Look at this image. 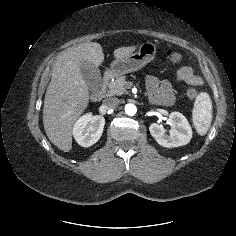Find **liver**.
<instances>
[{
	"instance_id": "liver-1",
	"label": "liver",
	"mask_w": 236,
	"mask_h": 236,
	"mask_svg": "<svg viewBox=\"0 0 236 236\" xmlns=\"http://www.w3.org/2000/svg\"><path fill=\"white\" fill-rule=\"evenodd\" d=\"M136 47L114 50L116 59L132 54ZM88 60L97 67L104 61L99 43L84 42L65 50L57 57L43 108V124L49 140L63 152L72 149L73 127L89 103V90L80 71Z\"/></svg>"
}]
</instances>
